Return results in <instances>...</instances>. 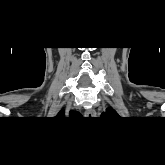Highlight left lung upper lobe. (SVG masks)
I'll return each mask as SVG.
<instances>
[{"mask_svg": "<svg viewBox=\"0 0 165 165\" xmlns=\"http://www.w3.org/2000/svg\"><path fill=\"white\" fill-rule=\"evenodd\" d=\"M117 114L113 109H111V108H109V109H107V113L105 114V113H103V115H108V114Z\"/></svg>", "mask_w": 165, "mask_h": 165, "instance_id": "5c2ea615", "label": "left lung upper lobe"}]
</instances>
